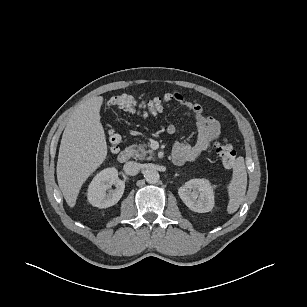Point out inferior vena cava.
Masks as SVG:
<instances>
[{
    "instance_id": "1",
    "label": "inferior vena cava",
    "mask_w": 307,
    "mask_h": 307,
    "mask_svg": "<svg viewBox=\"0 0 307 307\" xmlns=\"http://www.w3.org/2000/svg\"><path fill=\"white\" fill-rule=\"evenodd\" d=\"M124 170L127 174L134 176L141 170V164L134 161L126 162Z\"/></svg>"
}]
</instances>
